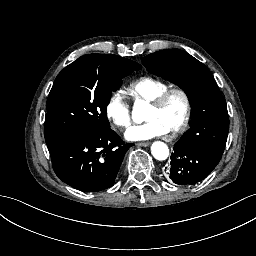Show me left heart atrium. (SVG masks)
Returning a JSON list of instances; mask_svg holds the SVG:
<instances>
[{
    "label": "left heart atrium",
    "instance_id": "1",
    "mask_svg": "<svg viewBox=\"0 0 256 256\" xmlns=\"http://www.w3.org/2000/svg\"><path fill=\"white\" fill-rule=\"evenodd\" d=\"M170 124L163 114H154L143 123V131L147 136H164L169 133Z\"/></svg>",
    "mask_w": 256,
    "mask_h": 256
}]
</instances>
